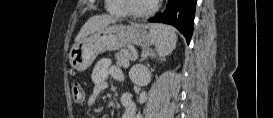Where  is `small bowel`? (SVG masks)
Here are the masks:
<instances>
[{
    "label": "small bowel",
    "instance_id": "c3829d8e",
    "mask_svg": "<svg viewBox=\"0 0 273 118\" xmlns=\"http://www.w3.org/2000/svg\"><path fill=\"white\" fill-rule=\"evenodd\" d=\"M109 76L120 82L125 80V76L120 68L113 66L111 61L107 58L100 59L95 65L91 75L93 90L87 98V107L92 108L97 104L100 94L107 88V80ZM122 103L125 108L122 118L141 117V114L137 111L136 106L130 97L124 96L122 98Z\"/></svg>",
    "mask_w": 273,
    "mask_h": 118
}]
</instances>
